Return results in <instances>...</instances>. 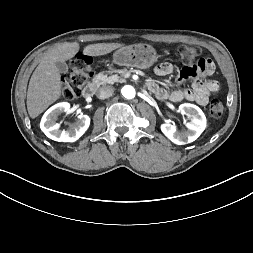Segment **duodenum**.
<instances>
[{"label":"duodenum","mask_w":253,"mask_h":253,"mask_svg":"<svg viewBox=\"0 0 253 253\" xmlns=\"http://www.w3.org/2000/svg\"><path fill=\"white\" fill-rule=\"evenodd\" d=\"M100 82L98 80L90 82L83 90V96L85 98H91L95 95Z\"/></svg>","instance_id":"duodenum-1"}]
</instances>
